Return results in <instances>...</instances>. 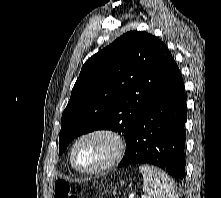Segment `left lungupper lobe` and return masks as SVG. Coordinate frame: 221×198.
<instances>
[{
	"mask_svg": "<svg viewBox=\"0 0 221 198\" xmlns=\"http://www.w3.org/2000/svg\"><path fill=\"white\" fill-rule=\"evenodd\" d=\"M173 62L161 40L140 31L127 32L89 58L62 115L59 154L74 138L98 129L122 133L127 142Z\"/></svg>",
	"mask_w": 221,
	"mask_h": 198,
	"instance_id": "1",
	"label": "left lung upper lobe"
}]
</instances>
